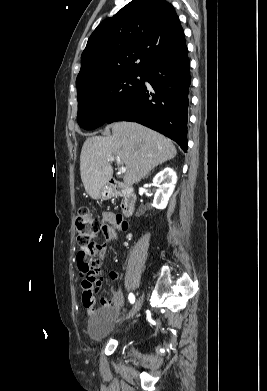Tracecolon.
<instances>
[{"label":"colon","mask_w":267,"mask_h":391,"mask_svg":"<svg viewBox=\"0 0 267 391\" xmlns=\"http://www.w3.org/2000/svg\"><path fill=\"white\" fill-rule=\"evenodd\" d=\"M77 243L80 252L97 254L104 243L99 239L103 224L89 207H81L75 220Z\"/></svg>","instance_id":"obj_1"}]
</instances>
